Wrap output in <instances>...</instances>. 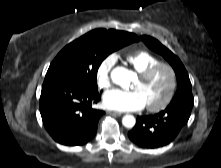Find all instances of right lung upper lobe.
I'll use <instances>...</instances> for the list:
<instances>
[{
	"label": "right lung upper lobe",
	"instance_id": "right-lung-upper-lobe-1",
	"mask_svg": "<svg viewBox=\"0 0 221 168\" xmlns=\"http://www.w3.org/2000/svg\"><path fill=\"white\" fill-rule=\"evenodd\" d=\"M106 31H108L110 33H116V34H125L128 37H130L134 42L139 41V38L135 34H132V33H128V32H124V31H118V30H106Z\"/></svg>",
	"mask_w": 221,
	"mask_h": 168
}]
</instances>
